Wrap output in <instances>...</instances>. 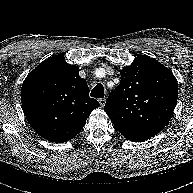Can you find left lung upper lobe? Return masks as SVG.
Returning a JSON list of instances; mask_svg holds the SVG:
<instances>
[{
	"mask_svg": "<svg viewBox=\"0 0 193 193\" xmlns=\"http://www.w3.org/2000/svg\"><path fill=\"white\" fill-rule=\"evenodd\" d=\"M121 82L104 110L116 129L128 140H147L169 122L178 99L173 73L157 60L137 56L120 70Z\"/></svg>",
	"mask_w": 193,
	"mask_h": 193,
	"instance_id": "obj_1",
	"label": "left lung upper lobe"
}]
</instances>
